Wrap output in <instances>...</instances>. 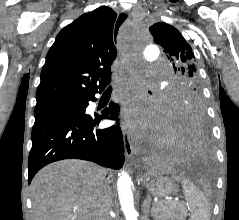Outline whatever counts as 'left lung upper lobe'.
Returning <instances> with one entry per match:
<instances>
[{
    "label": "left lung upper lobe",
    "instance_id": "1",
    "mask_svg": "<svg viewBox=\"0 0 239 220\" xmlns=\"http://www.w3.org/2000/svg\"><path fill=\"white\" fill-rule=\"evenodd\" d=\"M149 30L177 71L176 79L169 86V112H185L197 107L204 110L201 82L191 46L176 28L167 23H156Z\"/></svg>",
    "mask_w": 239,
    "mask_h": 220
}]
</instances>
